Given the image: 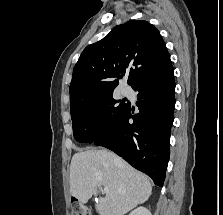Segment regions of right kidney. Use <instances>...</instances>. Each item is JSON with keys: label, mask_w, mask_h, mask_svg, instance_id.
<instances>
[{"label": "right kidney", "mask_w": 223, "mask_h": 215, "mask_svg": "<svg viewBox=\"0 0 223 215\" xmlns=\"http://www.w3.org/2000/svg\"><path fill=\"white\" fill-rule=\"evenodd\" d=\"M129 215H152L151 211L147 209V207H137V209H133V211H130Z\"/></svg>", "instance_id": "right-kidney-1"}]
</instances>
